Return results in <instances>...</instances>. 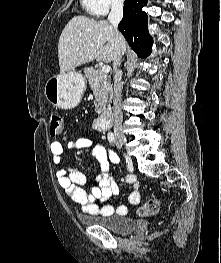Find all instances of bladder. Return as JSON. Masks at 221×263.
I'll return each mask as SVG.
<instances>
[{
  "label": "bladder",
  "instance_id": "bladder-1",
  "mask_svg": "<svg viewBox=\"0 0 221 263\" xmlns=\"http://www.w3.org/2000/svg\"><path fill=\"white\" fill-rule=\"evenodd\" d=\"M80 221L89 225L99 226L118 234L132 232L137 227V221L118 214L99 216H80Z\"/></svg>",
  "mask_w": 221,
  "mask_h": 263
}]
</instances>
